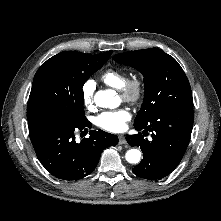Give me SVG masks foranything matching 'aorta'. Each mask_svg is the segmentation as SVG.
Instances as JSON below:
<instances>
[{
  "label": "aorta",
  "instance_id": "762f6f07",
  "mask_svg": "<svg viewBox=\"0 0 221 221\" xmlns=\"http://www.w3.org/2000/svg\"><path fill=\"white\" fill-rule=\"evenodd\" d=\"M94 101L97 106L110 108L115 105L116 96L112 90H100L96 92ZM141 152L138 149H130L126 152V160L131 164H137L140 161Z\"/></svg>",
  "mask_w": 221,
  "mask_h": 221
}]
</instances>
